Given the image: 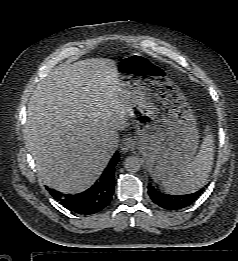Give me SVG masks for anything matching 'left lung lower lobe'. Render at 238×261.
I'll use <instances>...</instances> for the list:
<instances>
[{"mask_svg": "<svg viewBox=\"0 0 238 261\" xmlns=\"http://www.w3.org/2000/svg\"><path fill=\"white\" fill-rule=\"evenodd\" d=\"M148 193L153 202L167 210H178L191 205L200 196L201 191L189 195H168L161 192L152 183L148 184Z\"/></svg>", "mask_w": 238, "mask_h": 261, "instance_id": "obj_1", "label": "left lung lower lobe"}]
</instances>
